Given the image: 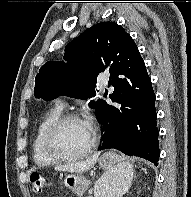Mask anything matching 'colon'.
<instances>
[{
  "instance_id": "obj_1",
  "label": "colon",
  "mask_w": 191,
  "mask_h": 197,
  "mask_svg": "<svg viewBox=\"0 0 191 197\" xmlns=\"http://www.w3.org/2000/svg\"><path fill=\"white\" fill-rule=\"evenodd\" d=\"M31 183L33 185L34 192L36 193H42L47 187V179L38 174V173H33L30 177Z\"/></svg>"
}]
</instances>
